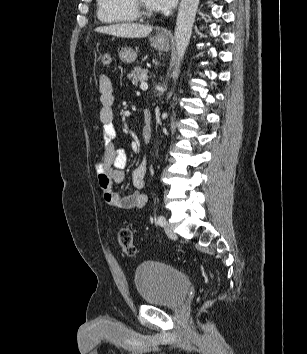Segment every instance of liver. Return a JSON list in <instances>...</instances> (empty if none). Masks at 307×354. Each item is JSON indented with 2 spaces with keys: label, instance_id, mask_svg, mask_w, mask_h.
<instances>
[{
  "label": "liver",
  "instance_id": "obj_1",
  "mask_svg": "<svg viewBox=\"0 0 307 354\" xmlns=\"http://www.w3.org/2000/svg\"><path fill=\"white\" fill-rule=\"evenodd\" d=\"M153 27L137 23H119L109 26H101L95 29L98 33H104L121 38H143L148 36Z\"/></svg>",
  "mask_w": 307,
  "mask_h": 354
}]
</instances>
